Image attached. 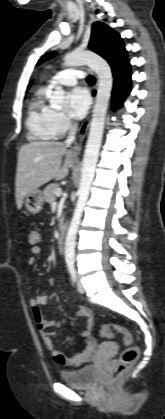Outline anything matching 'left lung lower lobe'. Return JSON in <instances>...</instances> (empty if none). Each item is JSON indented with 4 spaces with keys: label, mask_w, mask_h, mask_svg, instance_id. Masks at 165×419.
I'll use <instances>...</instances> for the list:
<instances>
[{
    "label": "left lung lower lobe",
    "mask_w": 165,
    "mask_h": 419,
    "mask_svg": "<svg viewBox=\"0 0 165 419\" xmlns=\"http://www.w3.org/2000/svg\"><path fill=\"white\" fill-rule=\"evenodd\" d=\"M114 77L112 99L114 108H119L125 97L130 92L131 72L127 52L121 53L118 58L110 64Z\"/></svg>",
    "instance_id": "0a47b994"
}]
</instances>
